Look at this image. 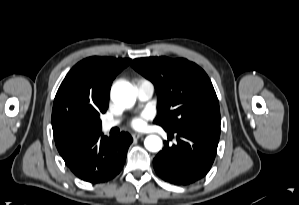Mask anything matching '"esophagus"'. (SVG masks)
Instances as JSON below:
<instances>
[{"label":"esophagus","instance_id":"esophagus-1","mask_svg":"<svg viewBox=\"0 0 299 205\" xmlns=\"http://www.w3.org/2000/svg\"><path fill=\"white\" fill-rule=\"evenodd\" d=\"M142 136H143L142 134H137V133L132 135L134 140H137V139L141 138Z\"/></svg>","mask_w":299,"mask_h":205}]
</instances>
